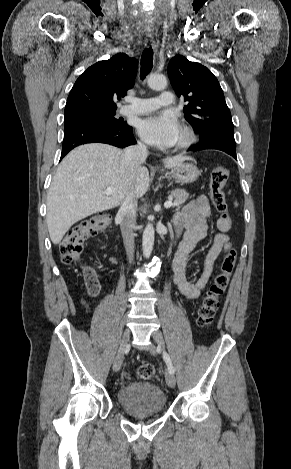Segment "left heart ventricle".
Wrapping results in <instances>:
<instances>
[{
	"mask_svg": "<svg viewBox=\"0 0 291 469\" xmlns=\"http://www.w3.org/2000/svg\"><path fill=\"white\" fill-rule=\"evenodd\" d=\"M180 138H181V134H180V136H179V139H178V141L180 140ZM178 141H177V142H178Z\"/></svg>",
	"mask_w": 291,
	"mask_h": 469,
	"instance_id": "obj_1",
	"label": "left heart ventricle"
}]
</instances>
